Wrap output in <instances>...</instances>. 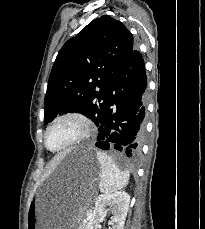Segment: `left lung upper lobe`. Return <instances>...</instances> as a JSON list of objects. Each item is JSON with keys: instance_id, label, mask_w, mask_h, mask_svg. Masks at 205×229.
Wrapping results in <instances>:
<instances>
[{"instance_id": "left-lung-upper-lobe-1", "label": "left lung upper lobe", "mask_w": 205, "mask_h": 229, "mask_svg": "<svg viewBox=\"0 0 205 229\" xmlns=\"http://www.w3.org/2000/svg\"><path fill=\"white\" fill-rule=\"evenodd\" d=\"M133 35L108 15L94 19L60 49L44 101V123L79 112L99 125L108 90L133 50Z\"/></svg>"}]
</instances>
